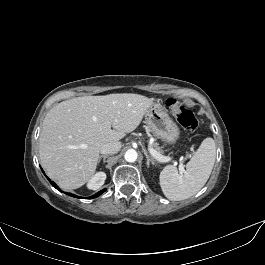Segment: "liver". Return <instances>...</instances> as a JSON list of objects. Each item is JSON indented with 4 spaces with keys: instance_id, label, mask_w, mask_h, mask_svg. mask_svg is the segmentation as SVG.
Listing matches in <instances>:
<instances>
[{
    "instance_id": "1",
    "label": "liver",
    "mask_w": 265,
    "mask_h": 265,
    "mask_svg": "<svg viewBox=\"0 0 265 265\" xmlns=\"http://www.w3.org/2000/svg\"><path fill=\"white\" fill-rule=\"evenodd\" d=\"M152 104L151 98L133 93L83 96L59 103L43 121L42 167L64 190L83 186L96 171L101 147L134 131Z\"/></svg>"
}]
</instances>
